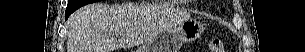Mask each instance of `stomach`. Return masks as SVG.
Wrapping results in <instances>:
<instances>
[{
  "instance_id": "0dacf381",
  "label": "stomach",
  "mask_w": 305,
  "mask_h": 52,
  "mask_svg": "<svg viewBox=\"0 0 305 52\" xmlns=\"http://www.w3.org/2000/svg\"><path fill=\"white\" fill-rule=\"evenodd\" d=\"M203 31L204 27L201 22L188 19L161 31L136 52H179L183 44L195 41Z\"/></svg>"
}]
</instances>
